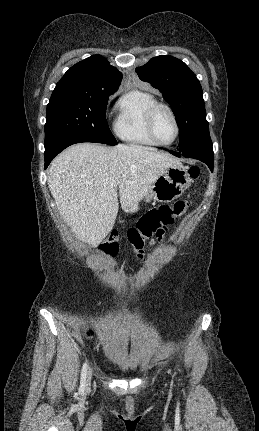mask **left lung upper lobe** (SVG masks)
Returning <instances> with one entry per match:
<instances>
[{
  "mask_svg": "<svg viewBox=\"0 0 259 431\" xmlns=\"http://www.w3.org/2000/svg\"><path fill=\"white\" fill-rule=\"evenodd\" d=\"M142 81L159 89L170 104L180 130L179 152L212 149L203 91L196 75L170 55L154 57L136 68Z\"/></svg>",
  "mask_w": 259,
  "mask_h": 431,
  "instance_id": "obj_1",
  "label": "left lung upper lobe"
}]
</instances>
